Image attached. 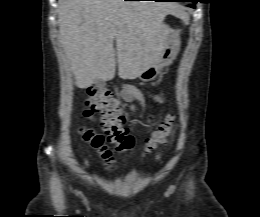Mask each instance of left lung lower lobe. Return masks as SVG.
Segmentation results:
<instances>
[{
    "instance_id": "obj_1",
    "label": "left lung lower lobe",
    "mask_w": 260,
    "mask_h": 217,
    "mask_svg": "<svg viewBox=\"0 0 260 217\" xmlns=\"http://www.w3.org/2000/svg\"><path fill=\"white\" fill-rule=\"evenodd\" d=\"M156 1H170V2H172V1H179V0H156ZM185 1H187V0H185ZM189 2L196 3L197 0H190ZM191 7H195V6H194V5H191Z\"/></svg>"
}]
</instances>
